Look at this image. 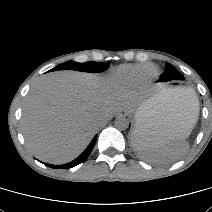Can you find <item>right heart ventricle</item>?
Here are the masks:
<instances>
[{
    "instance_id": "1",
    "label": "right heart ventricle",
    "mask_w": 212,
    "mask_h": 212,
    "mask_svg": "<svg viewBox=\"0 0 212 212\" xmlns=\"http://www.w3.org/2000/svg\"><path fill=\"white\" fill-rule=\"evenodd\" d=\"M155 74L156 68L151 64L125 65L116 70L114 77L119 83L128 84L152 77Z\"/></svg>"
}]
</instances>
